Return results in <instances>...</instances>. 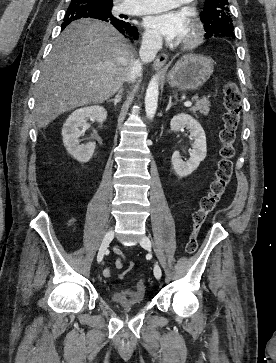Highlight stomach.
Here are the masks:
<instances>
[{"label": "stomach", "instance_id": "0dacf381", "mask_svg": "<svg viewBox=\"0 0 276 363\" xmlns=\"http://www.w3.org/2000/svg\"><path fill=\"white\" fill-rule=\"evenodd\" d=\"M214 70V61L206 56L186 54L167 75L171 87L182 91H194L207 82Z\"/></svg>", "mask_w": 276, "mask_h": 363}]
</instances>
